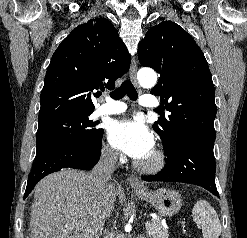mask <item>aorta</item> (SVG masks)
<instances>
[{"instance_id":"aorta-1","label":"aorta","mask_w":247,"mask_h":238,"mask_svg":"<svg viewBox=\"0 0 247 238\" xmlns=\"http://www.w3.org/2000/svg\"><path fill=\"white\" fill-rule=\"evenodd\" d=\"M139 83L146 88H152L157 81V75L152 69L143 68L138 72Z\"/></svg>"}]
</instances>
